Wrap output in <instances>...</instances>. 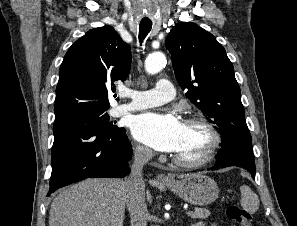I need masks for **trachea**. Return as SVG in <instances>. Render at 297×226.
Wrapping results in <instances>:
<instances>
[{
    "label": "trachea",
    "mask_w": 297,
    "mask_h": 226,
    "mask_svg": "<svg viewBox=\"0 0 297 226\" xmlns=\"http://www.w3.org/2000/svg\"><path fill=\"white\" fill-rule=\"evenodd\" d=\"M152 28V22L150 21H141L139 24V41H142L146 38L148 33Z\"/></svg>",
    "instance_id": "3493384b"
}]
</instances>
